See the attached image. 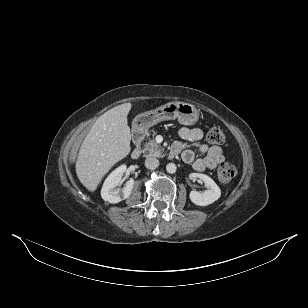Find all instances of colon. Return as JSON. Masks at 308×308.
Here are the masks:
<instances>
[{
    "mask_svg": "<svg viewBox=\"0 0 308 308\" xmlns=\"http://www.w3.org/2000/svg\"><path fill=\"white\" fill-rule=\"evenodd\" d=\"M207 140L211 145L222 144L225 140L224 133L220 127H213L207 134ZM236 174L235 167L230 163H222L217 170L218 179L227 183L233 179Z\"/></svg>",
    "mask_w": 308,
    "mask_h": 308,
    "instance_id": "1",
    "label": "colon"
}]
</instances>
